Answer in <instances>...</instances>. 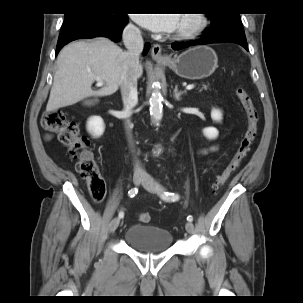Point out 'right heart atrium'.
I'll return each mask as SVG.
<instances>
[{
	"label": "right heart atrium",
	"mask_w": 303,
	"mask_h": 303,
	"mask_svg": "<svg viewBox=\"0 0 303 303\" xmlns=\"http://www.w3.org/2000/svg\"><path fill=\"white\" fill-rule=\"evenodd\" d=\"M127 29H128V31L133 32V33H136L138 31V29L133 25H129L127 27Z\"/></svg>",
	"instance_id": "d8ad5b80"
}]
</instances>
